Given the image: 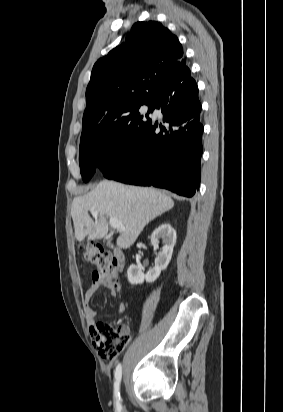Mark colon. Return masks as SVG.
I'll return each mask as SVG.
<instances>
[{
  "label": "colon",
  "mask_w": 283,
  "mask_h": 412,
  "mask_svg": "<svg viewBox=\"0 0 283 412\" xmlns=\"http://www.w3.org/2000/svg\"><path fill=\"white\" fill-rule=\"evenodd\" d=\"M84 260L93 265V277L104 279L114 287L119 284V274L114 258L99 245L88 246ZM92 335L100 355L105 359L116 357L129 343L130 335L124 327L109 322H97L92 326Z\"/></svg>",
  "instance_id": "obj_1"
}]
</instances>
